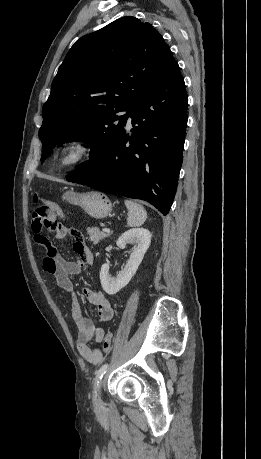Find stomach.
I'll list each match as a JSON object with an SVG mask.
<instances>
[{"instance_id":"0dacf381","label":"stomach","mask_w":261,"mask_h":459,"mask_svg":"<svg viewBox=\"0 0 261 459\" xmlns=\"http://www.w3.org/2000/svg\"><path fill=\"white\" fill-rule=\"evenodd\" d=\"M63 199L80 206L89 216L96 219L105 218L112 211L111 201L106 195L97 191L86 193L67 191L63 194Z\"/></svg>"}]
</instances>
